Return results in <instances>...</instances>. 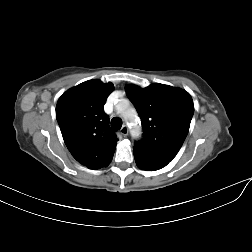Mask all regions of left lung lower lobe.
<instances>
[{
    "mask_svg": "<svg viewBox=\"0 0 252 252\" xmlns=\"http://www.w3.org/2000/svg\"><path fill=\"white\" fill-rule=\"evenodd\" d=\"M134 158L138 168L146 171H156L165 167L170 161L144 152L134 147Z\"/></svg>",
    "mask_w": 252,
    "mask_h": 252,
    "instance_id": "0a47b994",
    "label": "left lung lower lobe"
}]
</instances>
